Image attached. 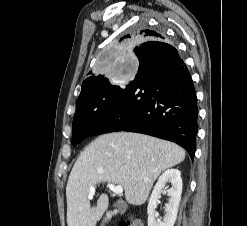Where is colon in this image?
Here are the masks:
<instances>
[{
    "instance_id": "colon-1",
    "label": "colon",
    "mask_w": 247,
    "mask_h": 226,
    "mask_svg": "<svg viewBox=\"0 0 247 226\" xmlns=\"http://www.w3.org/2000/svg\"><path fill=\"white\" fill-rule=\"evenodd\" d=\"M119 226H143L142 222L137 219L122 221Z\"/></svg>"
}]
</instances>
